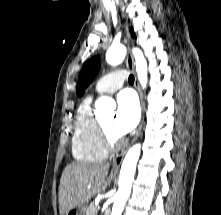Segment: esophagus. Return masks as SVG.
Instances as JSON below:
<instances>
[{"label":"esophagus","instance_id":"34e87169","mask_svg":"<svg viewBox=\"0 0 221 215\" xmlns=\"http://www.w3.org/2000/svg\"><path fill=\"white\" fill-rule=\"evenodd\" d=\"M126 64H127V67L129 68V70H131L135 76V82H134V85L136 87V90L138 92V95H139V99H140V105H141V112H142V115H141V120H140V123H139V126L137 128V131H136V134L131 142V144L138 138L140 132H141V129H142V126H143V123H144V102H143V97H142V92H141V89H140V86H139V82H138V79H137V76H136V72H135V67H134V59H133V56L132 54L130 53V46L128 44V53H127V57H126ZM129 148V147H128ZM128 148L126 150H123L121 151L116 157L115 159L113 160L112 162V167L114 168H118L122 161H123V158L126 154V151L128 150Z\"/></svg>","mask_w":221,"mask_h":215}]
</instances>
